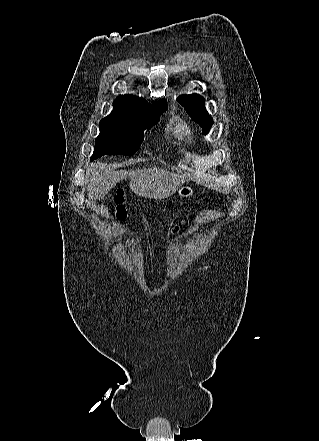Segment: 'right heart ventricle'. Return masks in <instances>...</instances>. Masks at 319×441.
Segmentation results:
<instances>
[{"instance_id": "e07e8e85", "label": "right heart ventricle", "mask_w": 319, "mask_h": 441, "mask_svg": "<svg viewBox=\"0 0 319 441\" xmlns=\"http://www.w3.org/2000/svg\"><path fill=\"white\" fill-rule=\"evenodd\" d=\"M172 134L179 140H185L190 135V128L183 121H176L172 126Z\"/></svg>"}]
</instances>
